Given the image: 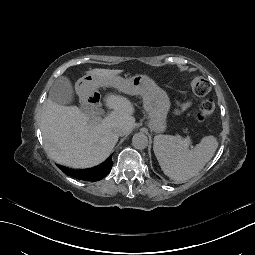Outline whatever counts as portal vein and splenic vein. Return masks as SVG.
Listing matches in <instances>:
<instances>
[{
	"mask_svg": "<svg viewBox=\"0 0 255 255\" xmlns=\"http://www.w3.org/2000/svg\"><path fill=\"white\" fill-rule=\"evenodd\" d=\"M106 117H109V114H106ZM102 119V116H98L95 118V121H100ZM185 141L188 143V146L190 148H193L195 146V143L192 141V137L190 135H187L185 137Z\"/></svg>",
	"mask_w": 255,
	"mask_h": 255,
	"instance_id": "portal-vein-and-splenic-vein-1",
	"label": "portal vein and splenic vein"
}]
</instances>
